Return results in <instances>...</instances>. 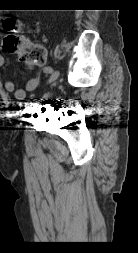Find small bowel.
<instances>
[{"label":"small bowel","instance_id":"1","mask_svg":"<svg viewBox=\"0 0 138 253\" xmlns=\"http://www.w3.org/2000/svg\"><path fill=\"white\" fill-rule=\"evenodd\" d=\"M3 64H4V58L2 55H0V68L3 66ZM45 72L50 73L51 69L46 68ZM39 83H40V76H36L27 81L24 89H17L15 87L14 82L10 80L5 82L4 87L7 92L13 94L16 100H23L26 96V92L34 91L38 87Z\"/></svg>","mask_w":138,"mask_h":253}]
</instances>
